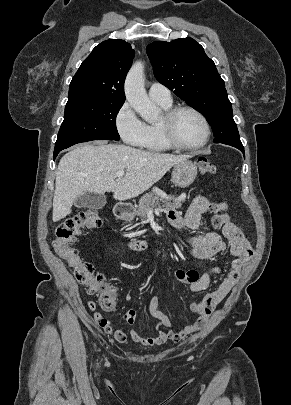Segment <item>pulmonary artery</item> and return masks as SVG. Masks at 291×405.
<instances>
[{"label": "pulmonary artery", "instance_id": "obj_1", "mask_svg": "<svg viewBox=\"0 0 291 405\" xmlns=\"http://www.w3.org/2000/svg\"><path fill=\"white\" fill-rule=\"evenodd\" d=\"M148 93L149 96L156 102L162 103L172 102L170 90L166 86L158 82H154L150 85Z\"/></svg>", "mask_w": 291, "mask_h": 405}]
</instances>
